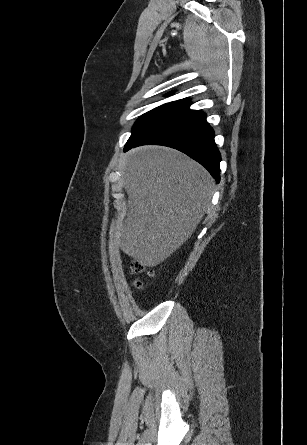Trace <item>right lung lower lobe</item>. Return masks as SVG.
<instances>
[{
	"instance_id": "right-lung-lower-lobe-1",
	"label": "right lung lower lobe",
	"mask_w": 307,
	"mask_h": 445,
	"mask_svg": "<svg viewBox=\"0 0 307 445\" xmlns=\"http://www.w3.org/2000/svg\"><path fill=\"white\" fill-rule=\"evenodd\" d=\"M190 104L186 102L131 135L124 151L147 144L172 147L202 164L219 182L221 155L214 142V131L206 121V114L190 110Z\"/></svg>"
}]
</instances>
